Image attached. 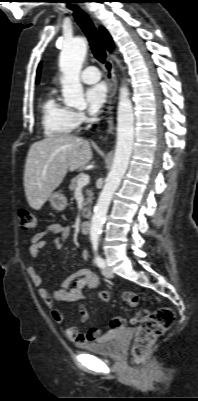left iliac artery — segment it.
<instances>
[{"instance_id": "left-iliac-artery-1", "label": "left iliac artery", "mask_w": 198, "mask_h": 401, "mask_svg": "<svg viewBox=\"0 0 198 401\" xmlns=\"http://www.w3.org/2000/svg\"><path fill=\"white\" fill-rule=\"evenodd\" d=\"M98 244H99V242H98L97 239H93L92 240L93 250L95 252V262H96L98 267L103 268L105 266V262L97 253Z\"/></svg>"}]
</instances>
